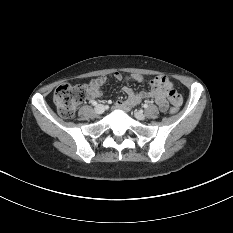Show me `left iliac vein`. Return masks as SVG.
<instances>
[{
  "label": "left iliac vein",
  "mask_w": 233,
  "mask_h": 233,
  "mask_svg": "<svg viewBox=\"0 0 233 233\" xmlns=\"http://www.w3.org/2000/svg\"><path fill=\"white\" fill-rule=\"evenodd\" d=\"M134 115L138 120H145L146 119V116L141 111H136L134 113Z\"/></svg>",
  "instance_id": "left-iliac-vein-1"
}]
</instances>
